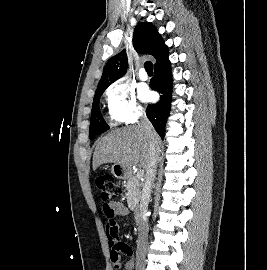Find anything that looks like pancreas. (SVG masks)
Here are the masks:
<instances>
[{
  "mask_svg": "<svg viewBox=\"0 0 267 270\" xmlns=\"http://www.w3.org/2000/svg\"><path fill=\"white\" fill-rule=\"evenodd\" d=\"M141 182L137 177L130 176L126 185V196L129 204H137L141 197Z\"/></svg>",
  "mask_w": 267,
  "mask_h": 270,
  "instance_id": "pancreas-1",
  "label": "pancreas"
}]
</instances>
